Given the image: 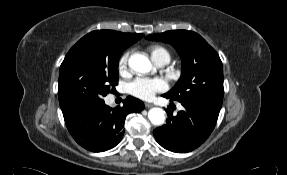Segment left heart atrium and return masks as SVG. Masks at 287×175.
<instances>
[{"label":"left heart atrium","mask_w":287,"mask_h":175,"mask_svg":"<svg viewBox=\"0 0 287 175\" xmlns=\"http://www.w3.org/2000/svg\"><path fill=\"white\" fill-rule=\"evenodd\" d=\"M166 89L167 83L160 77H137L128 85L129 93L143 100H149Z\"/></svg>","instance_id":"1"}]
</instances>
